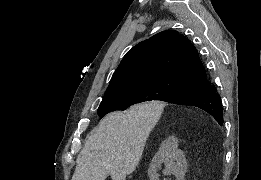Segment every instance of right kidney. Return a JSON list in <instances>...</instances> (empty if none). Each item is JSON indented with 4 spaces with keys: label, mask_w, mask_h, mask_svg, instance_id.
<instances>
[{
    "label": "right kidney",
    "mask_w": 261,
    "mask_h": 180,
    "mask_svg": "<svg viewBox=\"0 0 261 180\" xmlns=\"http://www.w3.org/2000/svg\"><path fill=\"white\" fill-rule=\"evenodd\" d=\"M162 162H165L166 172L175 174L178 180H184L187 162L182 150H178V140L175 136H169L165 142H162L159 152L154 156L151 168L148 170L150 180H158L156 172Z\"/></svg>",
    "instance_id": "ca27d5eb"
}]
</instances>
